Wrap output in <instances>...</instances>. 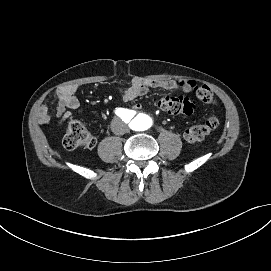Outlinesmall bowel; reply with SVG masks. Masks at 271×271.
<instances>
[{"mask_svg": "<svg viewBox=\"0 0 271 271\" xmlns=\"http://www.w3.org/2000/svg\"><path fill=\"white\" fill-rule=\"evenodd\" d=\"M151 88H162L168 91H182L184 93L196 92L199 85L192 80L176 81L172 79L151 80V79H133L128 87L122 92V100L129 102L135 98L145 94ZM81 86L77 84L61 86L56 90L58 99L56 107V116L58 125H61L65 120L71 117L74 113H81L82 108L77 98ZM139 105H135V109H139ZM38 122L42 125H47L51 122V116L46 104L40 106L37 113Z\"/></svg>", "mask_w": 271, "mask_h": 271, "instance_id": "obj_1", "label": "small bowel"}]
</instances>
